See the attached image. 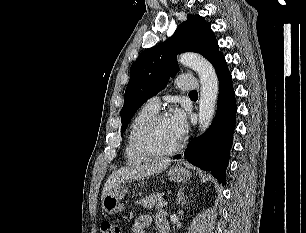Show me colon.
<instances>
[{"label": "colon", "instance_id": "1", "mask_svg": "<svg viewBox=\"0 0 306 233\" xmlns=\"http://www.w3.org/2000/svg\"><path fill=\"white\" fill-rule=\"evenodd\" d=\"M100 233H120V231L115 224L105 221L100 225Z\"/></svg>", "mask_w": 306, "mask_h": 233}]
</instances>
